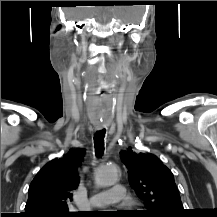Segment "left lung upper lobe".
Here are the masks:
<instances>
[{
	"label": "left lung upper lobe",
	"instance_id": "left-lung-upper-lobe-1",
	"mask_svg": "<svg viewBox=\"0 0 217 217\" xmlns=\"http://www.w3.org/2000/svg\"><path fill=\"white\" fill-rule=\"evenodd\" d=\"M128 179L147 206L148 217H183L184 211L173 174L158 157L135 153L131 147L121 151Z\"/></svg>",
	"mask_w": 217,
	"mask_h": 217
}]
</instances>
